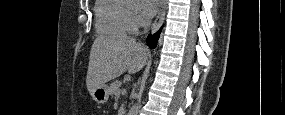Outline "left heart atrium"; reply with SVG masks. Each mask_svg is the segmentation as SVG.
<instances>
[{"mask_svg":"<svg viewBox=\"0 0 285 115\" xmlns=\"http://www.w3.org/2000/svg\"><path fill=\"white\" fill-rule=\"evenodd\" d=\"M142 10L146 17H151L155 14L159 6V0H142Z\"/></svg>","mask_w":285,"mask_h":115,"instance_id":"39dd6f15","label":"left heart atrium"}]
</instances>
